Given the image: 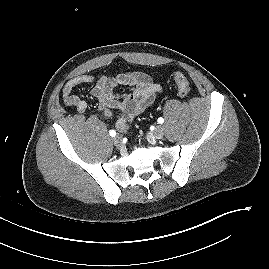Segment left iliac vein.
Masks as SVG:
<instances>
[{
  "label": "left iliac vein",
  "instance_id": "4c4485c4",
  "mask_svg": "<svg viewBox=\"0 0 269 269\" xmlns=\"http://www.w3.org/2000/svg\"><path fill=\"white\" fill-rule=\"evenodd\" d=\"M152 134L154 138L161 139L164 135L163 127L161 125L157 126Z\"/></svg>",
  "mask_w": 269,
  "mask_h": 269
}]
</instances>
